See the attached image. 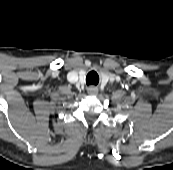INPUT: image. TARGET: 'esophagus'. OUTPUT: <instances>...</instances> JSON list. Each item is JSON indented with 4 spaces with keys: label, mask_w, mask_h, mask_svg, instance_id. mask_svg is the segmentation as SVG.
<instances>
[{
    "label": "esophagus",
    "mask_w": 173,
    "mask_h": 170,
    "mask_svg": "<svg viewBox=\"0 0 173 170\" xmlns=\"http://www.w3.org/2000/svg\"><path fill=\"white\" fill-rule=\"evenodd\" d=\"M87 93L90 95V96H96L98 94V88H96L95 86H90L88 87L87 89Z\"/></svg>",
    "instance_id": "34e87169"
}]
</instances>
